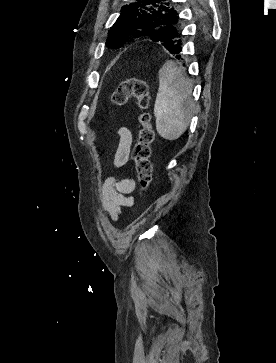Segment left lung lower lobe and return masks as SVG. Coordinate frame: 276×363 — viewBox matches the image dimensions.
Returning a JSON list of instances; mask_svg holds the SVG:
<instances>
[{"instance_id": "0a47b994", "label": "left lung lower lobe", "mask_w": 276, "mask_h": 363, "mask_svg": "<svg viewBox=\"0 0 276 363\" xmlns=\"http://www.w3.org/2000/svg\"><path fill=\"white\" fill-rule=\"evenodd\" d=\"M182 43L177 41H171L170 43L167 44L166 49L173 55L176 56L177 59H180V55L179 53L182 51V47H181Z\"/></svg>"}]
</instances>
